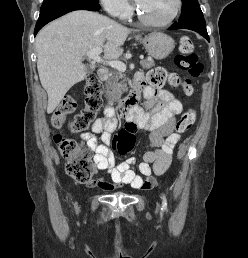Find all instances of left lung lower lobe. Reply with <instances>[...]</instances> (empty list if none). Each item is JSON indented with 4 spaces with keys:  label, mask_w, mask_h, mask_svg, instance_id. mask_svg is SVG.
Instances as JSON below:
<instances>
[{
    "label": "left lung lower lobe",
    "mask_w": 248,
    "mask_h": 258,
    "mask_svg": "<svg viewBox=\"0 0 248 258\" xmlns=\"http://www.w3.org/2000/svg\"><path fill=\"white\" fill-rule=\"evenodd\" d=\"M174 29H189V30H193V31H196L199 34H201L208 41H210L209 40V36L207 34L206 23H205L204 18L195 19V20L189 21V22L184 23V24L174 23L169 28V30H174Z\"/></svg>",
    "instance_id": "0a47b994"
}]
</instances>
